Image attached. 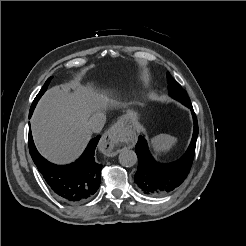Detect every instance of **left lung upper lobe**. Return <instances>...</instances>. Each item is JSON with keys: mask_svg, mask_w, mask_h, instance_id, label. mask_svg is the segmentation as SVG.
Instances as JSON below:
<instances>
[{"mask_svg": "<svg viewBox=\"0 0 246 246\" xmlns=\"http://www.w3.org/2000/svg\"><path fill=\"white\" fill-rule=\"evenodd\" d=\"M168 79V90L169 95L174 99L180 101L181 103L190 102V99L186 93V91L181 87V85L170 75L167 73Z\"/></svg>", "mask_w": 246, "mask_h": 246, "instance_id": "left-lung-upper-lobe-1", "label": "left lung upper lobe"}]
</instances>
